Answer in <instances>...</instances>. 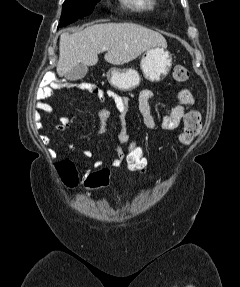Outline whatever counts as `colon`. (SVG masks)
I'll return each mask as SVG.
<instances>
[{"label":"colon","mask_w":240,"mask_h":287,"mask_svg":"<svg viewBox=\"0 0 240 287\" xmlns=\"http://www.w3.org/2000/svg\"><path fill=\"white\" fill-rule=\"evenodd\" d=\"M173 80L177 83L186 82L190 73L188 69L184 66H176L173 69ZM93 85L89 83H80V84H72L71 88H80L89 90ZM184 127L181 133L179 134V142L182 145H189L198 135L201 119L200 115L197 111L190 110L186 113L184 117ZM125 165L127 170L136 175L141 176L147 172L148 168V160L145 154L144 149L136 142L128 141L125 148ZM59 175L67 181V184H74V177L76 174V170L74 164L71 161H62L58 164L57 167ZM111 182L110 171L101 170L94 173L89 174L85 180L84 185L89 190H96L99 188L107 187Z\"/></svg>","instance_id":"1"}]
</instances>
